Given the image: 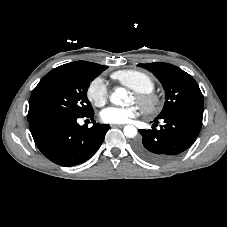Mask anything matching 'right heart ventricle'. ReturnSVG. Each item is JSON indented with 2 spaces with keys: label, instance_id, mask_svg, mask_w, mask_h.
Returning <instances> with one entry per match:
<instances>
[{
  "label": "right heart ventricle",
  "instance_id": "e07e8e85",
  "mask_svg": "<svg viewBox=\"0 0 227 227\" xmlns=\"http://www.w3.org/2000/svg\"><path fill=\"white\" fill-rule=\"evenodd\" d=\"M111 77L138 93L152 92L155 87L153 78L139 70H120L112 73Z\"/></svg>",
  "mask_w": 227,
  "mask_h": 227
}]
</instances>
